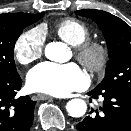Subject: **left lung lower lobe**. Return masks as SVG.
<instances>
[{"label": "left lung lower lobe", "mask_w": 131, "mask_h": 131, "mask_svg": "<svg viewBox=\"0 0 131 131\" xmlns=\"http://www.w3.org/2000/svg\"><path fill=\"white\" fill-rule=\"evenodd\" d=\"M92 98H104L99 109L76 125L78 131H131V91L95 88Z\"/></svg>", "instance_id": "left-lung-lower-lobe-1"}]
</instances>
